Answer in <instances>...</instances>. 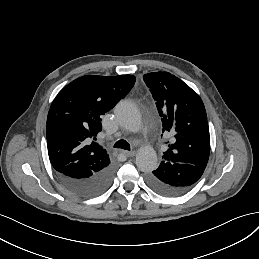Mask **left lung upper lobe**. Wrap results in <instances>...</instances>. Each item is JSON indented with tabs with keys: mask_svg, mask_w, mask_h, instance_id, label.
<instances>
[{
	"mask_svg": "<svg viewBox=\"0 0 259 259\" xmlns=\"http://www.w3.org/2000/svg\"><path fill=\"white\" fill-rule=\"evenodd\" d=\"M163 124V132L175 133L163 161L192 164L205 169L210 154L207 114L199 95L168 72L143 76Z\"/></svg>",
	"mask_w": 259,
	"mask_h": 259,
	"instance_id": "1",
	"label": "left lung upper lobe"
}]
</instances>
